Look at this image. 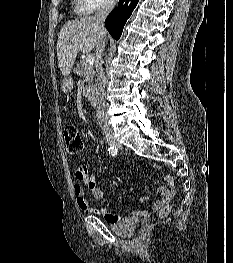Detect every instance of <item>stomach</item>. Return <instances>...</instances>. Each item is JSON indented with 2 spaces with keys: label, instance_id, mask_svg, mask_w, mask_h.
Instances as JSON below:
<instances>
[{
  "label": "stomach",
  "instance_id": "stomach-1",
  "mask_svg": "<svg viewBox=\"0 0 233 263\" xmlns=\"http://www.w3.org/2000/svg\"><path fill=\"white\" fill-rule=\"evenodd\" d=\"M60 87L62 88V91H69L73 87L71 77H62Z\"/></svg>",
  "mask_w": 233,
  "mask_h": 263
}]
</instances>
